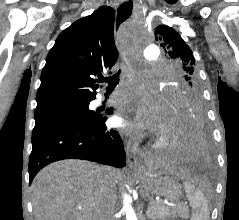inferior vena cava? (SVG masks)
Wrapping results in <instances>:
<instances>
[{
  "label": "inferior vena cava",
  "instance_id": "obj_1",
  "mask_svg": "<svg viewBox=\"0 0 239 220\" xmlns=\"http://www.w3.org/2000/svg\"><path fill=\"white\" fill-rule=\"evenodd\" d=\"M115 192V182L112 178L111 168L107 167L105 180L103 183V196H104V211H103V220H113L112 217V208H113V199Z\"/></svg>",
  "mask_w": 239,
  "mask_h": 220
}]
</instances>
